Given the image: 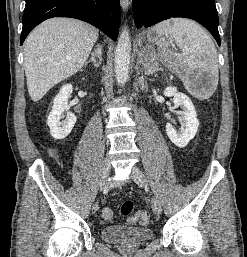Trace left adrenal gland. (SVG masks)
<instances>
[{"instance_id": "obj_1", "label": "left adrenal gland", "mask_w": 247, "mask_h": 257, "mask_svg": "<svg viewBox=\"0 0 247 257\" xmlns=\"http://www.w3.org/2000/svg\"><path fill=\"white\" fill-rule=\"evenodd\" d=\"M161 70H162V68H160V67L158 66V63H155L154 65H152V66L148 69V71L145 70V75L154 74V73H156L157 71H161Z\"/></svg>"}]
</instances>
